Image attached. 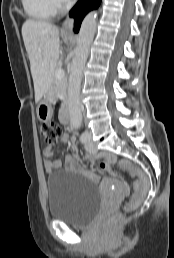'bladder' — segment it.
Instances as JSON below:
<instances>
[{
    "mask_svg": "<svg viewBox=\"0 0 174 258\" xmlns=\"http://www.w3.org/2000/svg\"><path fill=\"white\" fill-rule=\"evenodd\" d=\"M47 203L52 218L73 226H85L99 214L102 195L86 174L66 170L51 176Z\"/></svg>",
    "mask_w": 174,
    "mask_h": 258,
    "instance_id": "1",
    "label": "bladder"
}]
</instances>
